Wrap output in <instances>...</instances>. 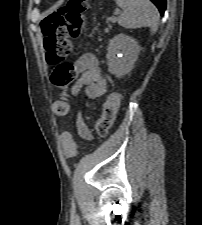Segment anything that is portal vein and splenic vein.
Segmentation results:
<instances>
[{"label":"portal vein and splenic vein","mask_w":202,"mask_h":225,"mask_svg":"<svg viewBox=\"0 0 202 225\" xmlns=\"http://www.w3.org/2000/svg\"><path fill=\"white\" fill-rule=\"evenodd\" d=\"M118 14H120V10L119 9H117L116 10V12H115V15H118ZM112 22H115L116 21V18L115 17H111V18H109Z\"/></svg>","instance_id":"18ae733b"}]
</instances>
